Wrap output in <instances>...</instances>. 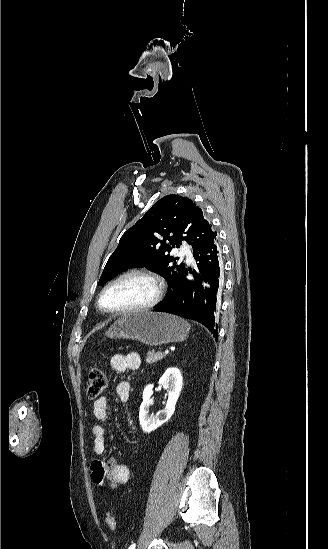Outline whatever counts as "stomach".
<instances>
[{"label": "stomach", "mask_w": 328, "mask_h": 549, "mask_svg": "<svg viewBox=\"0 0 328 549\" xmlns=\"http://www.w3.org/2000/svg\"><path fill=\"white\" fill-rule=\"evenodd\" d=\"M190 331L187 321L169 315V313H152V311H131L119 317L109 329L106 337L111 339H135L150 347L165 343L185 341Z\"/></svg>", "instance_id": "stomach-1"}]
</instances>
